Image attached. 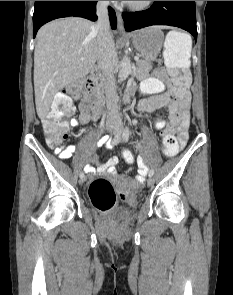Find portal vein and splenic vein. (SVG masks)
<instances>
[{"label": "portal vein and splenic vein", "mask_w": 233, "mask_h": 295, "mask_svg": "<svg viewBox=\"0 0 233 295\" xmlns=\"http://www.w3.org/2000/svg\"><path fill=\"white\" fill-rule=\"evenodd\" d=\"M81 60L83 61L84 58H81ZM135 60L138 61L139 60V57H135Z\"/></svg>", "instance_id": "obj_1"}]
</instances>
